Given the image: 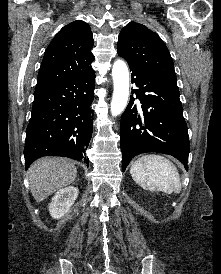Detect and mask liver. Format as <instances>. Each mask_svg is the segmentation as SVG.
I'll list each match as a JSON object with an SVG mask.
<instances>
[{
    "instance_id": "liver-1",
    "label": "liver",
    "mask_w": 221,
    "mask_h": 274,
    "mask_svg": "<svg viewBox=\"0 0 221 274\" xmlns=\"http://www.w3.org/2000/svg\"><path fill=\"white\" fill-rule=\"evenodd\" d=\"M76 176L75 164L66 158H41L28 169L30 190L37 202H42L57 190L73 183Z\"/></svg>"
}]
</instances>
